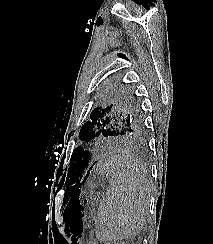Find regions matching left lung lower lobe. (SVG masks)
<instances>
[{
  "mask_svg": "<svg viewBox=\"0 0 213 244\" xmlns=\"http://www.w3.org/2000/svg\"><path fill=\"white\" fill-rule=\"evenodd\" d=\"M95 163H96V162H94V163L92 164V166L95 165ZM92 166L90 167V169H89V171L86 173V175L83 176V179L81 180L80 186L86 181V179H87V177H88V175H89V172H90ZM80 186H79V187H80Z\"/></svg>",
  "mask_w": 213,
  "mask_h": 244,
  "instance_id": "0a47b994",
  "label": "left lung lower lobe"
}]
</instances>
